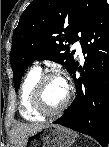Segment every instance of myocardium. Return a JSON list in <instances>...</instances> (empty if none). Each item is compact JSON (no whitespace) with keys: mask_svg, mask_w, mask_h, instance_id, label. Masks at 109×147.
Returning a JSON list of instances; mask_svg holds the SVG:
<instances>
[{"mask_svg":"<svg viewBox=\"0 0 109 147\" xmlns=\"http://www.w3.org/2000/svg\"><path fill=\"white\" fill-rule=\"evenodd\" d=\"M62 79L67 87V93H66V97L63 101V103L57 107L56 109L53 110H49L47 109L42 101V90L43 87L45 85V83L51 79ZM70 98H71V87L68 84L65 76L61 73H46V74H42L39 79L37 80V82L35 83L30 98H29V105L30 108L37 114L41 115V116H56L60 113H62L68 106L69 102H70Z\"/></svg>","mask_w":109,"mask_h":147,"instance_id":"f54148a6","label":"myocardium"}]
</instances>
